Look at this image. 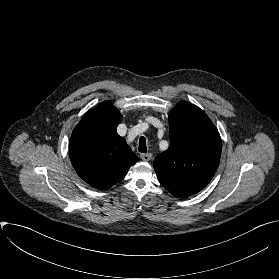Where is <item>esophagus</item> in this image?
<instances>
[{
    "label": "esophagus",
    "mask_w": 279,
    "mask_h": 279,
    "mask_svg": "<svg viewBox=\"0 0 279 279\" xmlns=\"http://www.w3.org/2000/svg\"><path fill=\"white\" fill-rule=\"evenodd\" d=\"M140 158H141L143 161H149V160H151V158H152V154H151V153L141 154V155H140Z\"/></svg>",
    "instance_id": "1"
}]
</instances>
